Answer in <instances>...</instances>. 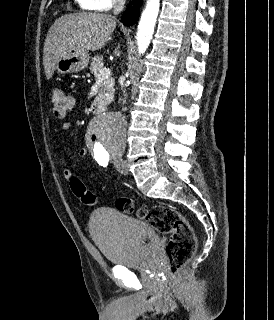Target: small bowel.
Listing matches in <instances>:
<instances>
[{"label":"small bowel","instance_id":"small-bowel-1","mask_svg":"<svg viewBox=\"0 0 274 320\" xmlns=\"http://www.w3.org/2000/svg\"><path fill=\"white\" fill-rule=\"evenodd\" d=\"M61 128L63 131H68L71 128V124L68 122H65L61 125ZM87 154H88V150L86 148H82L78 152V155L81 158L86 157ZM58 161H59V164H60V167H61V170H62L64 176L66 178H70L72 176V172H71V168H70L69 163L67 161H65L62 157H59Z\"/></svg>","mask_w":274,"mask_h":320}]
</instances>
